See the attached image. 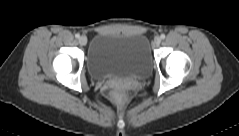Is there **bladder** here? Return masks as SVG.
Returning <instances> with one entry per match:
<instances>
[{
  "mask_svg": "<svg viewBox=\"0 0 239 136\" xmlns=\"http://www.w3.org/2000/svg\"><path fill=\"white\" fill-rule=\"evenodd\" d=\"M87 67L97 79L146 76L152 68L150 43L141 34L100 32L92 40Z\"/></svg>",
  "mask_w": 239,
  "mask_h": 136,
  "instance_id": "1",
  "label": "bladder"
}]
</instances>
